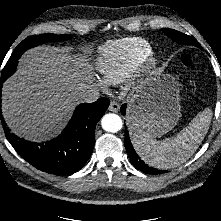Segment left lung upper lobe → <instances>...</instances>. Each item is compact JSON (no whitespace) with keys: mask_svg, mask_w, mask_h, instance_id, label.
Returning a JSON list of instances; mask_svg holds the SVG:
<instances>
[{"mask_svg":"<svg viewBox=\"0 0 221 221\" xmlns=\"http://www.w3.org/2000/svg\"><path fill=\"white\" fill-rule=\"evenodd\" d=\"M163 32L172 40H174L177 43H181V44H191L197 47H200L199 43L193 39L192 37L183 34L179 31L173 30V29H168V28H164Z\"/></svg>","mask_w":221,"mask_h":221,"instance_id":"obj_1","label":"left lung upper lobe"}]
</instances>
